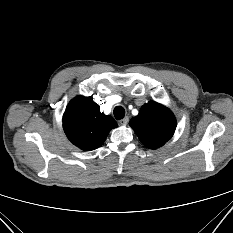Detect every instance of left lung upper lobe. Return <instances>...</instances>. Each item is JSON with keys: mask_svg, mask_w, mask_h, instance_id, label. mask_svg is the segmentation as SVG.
Wrapping results in <instances>:
<instances>
[{"mask_svg": "<svg viewBox=\"0 0 233 233\" xmlns=\"http://www.w3.org/2000/svg\"><path fill=\"white\" fill-rule=\"evenodd\" d=\"M130 126L146 147L156 149L173 136L176 119L168 108L151 101L141 107L139 114L131 119Z\"/></svg>", "mask_w": 233, "mask_h": 233, "instance_id": "1", "label": "left lung upper lobe"}]
</instances>
